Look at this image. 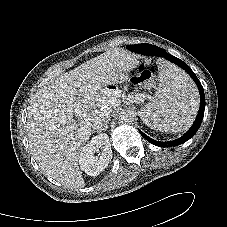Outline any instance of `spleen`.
<instances>
[{
  "instance_id": "1",
  "label": "spleen",
  "mask_w": 227,
  "mask_h": 227,
  "mask_svg": "<svg viewBox=\"0 0 227 227\" xmlns=\"http://www.w3.org/2000/svg\"><path fill=\"white\" fill-rule=\"evenodd\" d=\"M198 92L190 78L172 64L159 66V87L155 97L139 115L151 129L161 132L187 130L198 111Z\"/></svg>"
}]
</instances>
